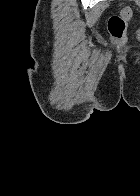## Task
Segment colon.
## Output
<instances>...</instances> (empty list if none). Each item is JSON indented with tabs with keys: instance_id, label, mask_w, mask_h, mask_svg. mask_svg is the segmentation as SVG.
Here are the masks:
<instances>
[{
	"instance_id": "1",
	"label": "colon",
	"mask_w": 140,
	"mask_h": 196,
	"mask_svg": "<svg viewBox=\"0 0 140 196\" xmlns=\"http://www.w3.org/2000/svg\"><path fill=\"white\" fill-rule=\"evenodd\" d=\"M132 17V10L128 6L120 7L108 19V30L112 43L116 47H123L127 41V24Z\"/></svg>"
}]
</instances>
